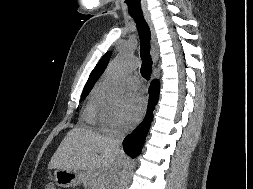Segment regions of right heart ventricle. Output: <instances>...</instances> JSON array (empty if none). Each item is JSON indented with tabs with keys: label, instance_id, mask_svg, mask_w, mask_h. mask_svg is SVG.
Returning a JSON list of instances; mask_svg holds the SVG:
<instances>
[{
	"label": "right heart ventricle",
	"instance_id": "e07e8e85",
	"mask_svg": "<svg viewBox=\"0 0 253 189\" xmlns=\"http://www.w3.org/2000/svg\"><path fill=\"white\" fill-rule=\"evenodd\" d=\"M99 91L95 90L91 98L89 100V103L87 104L85 111H84V119L89 124H96L99 121V110H98V99H99Z\"/></svg>",
	"mask_w": 253,
	"mask_h": 189
}]
</instances>
